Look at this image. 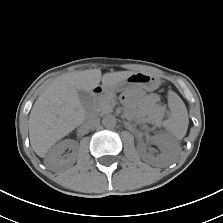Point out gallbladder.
Listing matches in <instances>:
<instances>
[{
	"instance_id": "gallbladder-1",
	"label": "gallbladder",
	"mask_w": 223,
	"mask_h": 223,
	"mask_svg": "<svg viewBox=\"0 0 223 223\" xmlns=\"http://www.w3.org/2000/svg\"><path fill=\"white\" fill-rule=\"evenodd\" d=\"M78 96L79 99L82 103V105L87 108V106L89 105L90 101L92 100V95L84 90H78Z\"/></svg>"
}]
</instances>
